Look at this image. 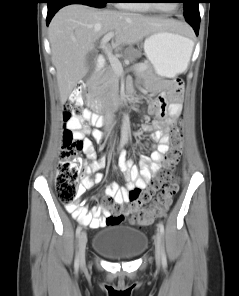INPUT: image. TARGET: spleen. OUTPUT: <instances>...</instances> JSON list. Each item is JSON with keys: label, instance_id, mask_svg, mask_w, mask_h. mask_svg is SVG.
<instances>
[{"label": "spleen", "instance_id": "obj_1", "mask_svg": "<svg viewBox=\"0 0 239 296\" xmlns=\"http://www.w3.org/2000/svg\"><path fill=\"white\" fill-rule=\"evenodd\" d=\"M193 46H194V43L192 42V44L189 46V50H188V56H187V65L190 61V57H191V54H192V49H193ZM187 68V67H186Z\"/></svg>", "mask_w": 239, "mask_h": 296}]
</instances>
